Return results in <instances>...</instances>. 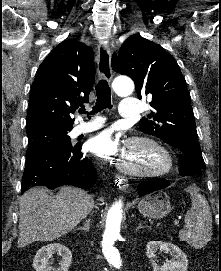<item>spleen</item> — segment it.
I'll list each match as a JSON object with an SVG mask.
<instances>
[{"instance_id": "spleen-1", "label": "spleen", "mask_w": 221, "mask_h": 271, "mask_svg": "<svg viewBox=\"0 0 221 271\" xmlns=\"http://www.w3.org/2000/svg\"><path fill=\"white\" fill-rule=\"evenodd\" d=\"M192 205L184 221L185 227L179 231L180 241H187L195 249H201L212 237V213L209 203L201 193L191 195Z\"/></svg>"}]
</instances>
